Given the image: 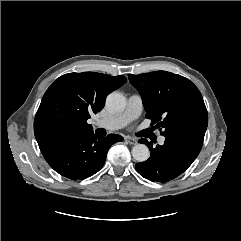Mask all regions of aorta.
Instances as JSON below:
<instances>
[{
    "label": "aorta",
    "mask_w": 241,
    "mask_h": 241,
    "mask_svg": "<svg viewBox=\"0 0 241 241\" xmlns=\"http://www.w3.org/2000/svg\"><path fill=\"white\" fill-rule=\"evenodd\" d=\"M106 106L113 112H122L126 107V99L121 93L112 92L106 98ZM131 153L133 158L138 162H144L150 156V151L144 144L135 145Z\"/></svg>",
    "instance_id": "aorta-1"
}]
</instances>
